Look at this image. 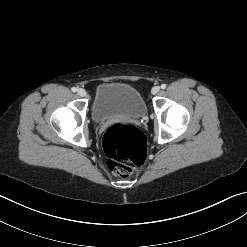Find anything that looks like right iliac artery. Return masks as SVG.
<instances>
[{
  "label": "right iliac artery",
  "mask_w": 247,
  "mask_h": 247,
  "mask_svg": "<svg viewBox=\"0 0 247 247\" xmlns=\"http://www.w3.org/2000/svg\"><path fill=\"white\" fill-rule=\"evenodd\" d=\"M71 90H72L73 92H76V91H77V88H76V87H72Z\"/></svg>",
  "instance_id": "1"
}]
</instances>
